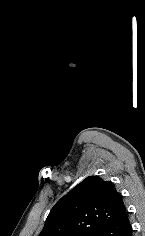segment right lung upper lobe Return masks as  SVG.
<instances>
[{"label": "right lung upper lobe", "mask_w": 145, "mask_h": 236, "mask_svg": "<svg viewBox=\"0 0 145 236\" xmlns=\"http://www.w3.org/2000/svg\"><path fill=\"white\" fill-rule=\"evenodd\" d=\"M125 212L114 185L89 176L54 205L39 236H96Z\"/></svg>", "instance_id": "cb5924a9"}]
</instances>
